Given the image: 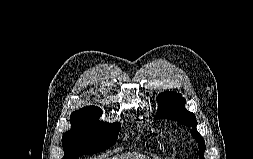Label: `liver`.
Instances as JSON below:
<instances>
[{"label": "liver", "instance_id": "1", "mask_svg": "<svg viewBox=\"0 0 253 159\" xmlns=\"http://www.w3.org/2000/svg\"><path fill=\"white\" fill-rule=\"evenodd\" d=\"M110 159H149V158L138 153H126V154L113 156Z\"/></svg>", "mask_w": 253, "mask_h": 159}]
</instances>
